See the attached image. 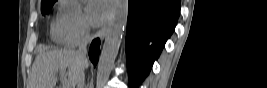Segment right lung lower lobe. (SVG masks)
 I'll list each match as a JSON object with an SVG mask.
<instances>
[{"instance_id": "right-lung-lower-lobe-1", "label": "right lung lower lobe", "mask_w": 267, "mask_h": 88, "mask_svg": "<svg viewBox=\"0 0 267 88\" xmlns=\"http://www.w3.org/2000/svg\"><path fill=\"white\" fill-rule=\"evenodd\" d=\"M99 46H100V41H99V39H96L92 42L90 49H89V58L92 61V63L94 64V66H96V64L98 62Z\"/></svg>"}]
</instances>
